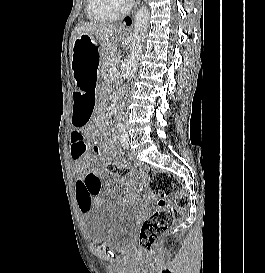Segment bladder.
I'll return each mask as SVG.
<instances>
[{"instance_id": "1", "label": "bladder", "mask_w": 265, "mask_h": 273, "mask_svg": "<svg viewBox=\"0 0 265 273\" xmlns=\"http://www.w3.org/2000/svg\"><path fill=\"white\" fill-rule=\"evenodd\" d=\"M83 231L87 240L111 248H125L133 235L138 210L124 203L93 206L83 213Z\"/></svg>"}]
</instances>
